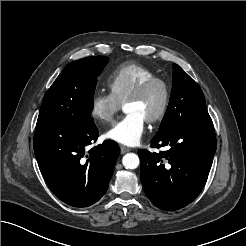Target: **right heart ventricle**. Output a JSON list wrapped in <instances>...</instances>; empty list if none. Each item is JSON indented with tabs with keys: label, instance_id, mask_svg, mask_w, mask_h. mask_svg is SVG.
I'll use <instances>...</instances> for the list:
<instances>
[{
	"label": "right heart ventricle",
	"instance_id": "e07e8e85",
	"mask_svg": "<svg viewBox=\"0 0 246 246\" xmlns=\"http://www.w3.org/2000/svg\"><path fill=\"white\" fill-rule=\"evenodd\" d=\"M154 76V70L142 64L128 62L116 67L107 77L106 83L110 93L122 104L139 85Z\"/></svg>",
	"mask_w": 246,
	"mask_h": 246
}]
</instances>
